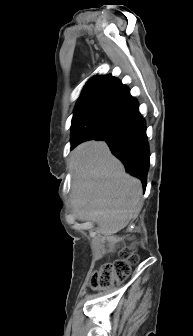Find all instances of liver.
Returning a JSON list of instances; mask_svg holds the SVG:
<instances>
[{
  "instance_id": "1",
  "label": "liver",
  "mask_w": 193,
  "mask_h": 336,
  "mask_svg": "<svg viewBox=\"0 0 193 336\" xmlns=\"http://www.w3.org/2000/svg\"><path fill=\"white\" fill-rule=\"evenodd\" d=\"M72 206L81 221H93L110 236L141 210L142 184L125 172L105 142L88 141L71 153Z\"/></svg>"
}]
</instances>
